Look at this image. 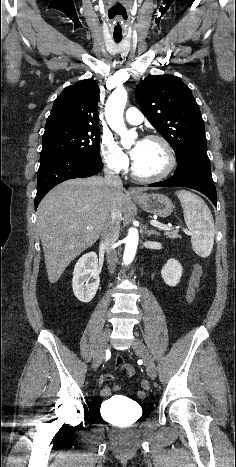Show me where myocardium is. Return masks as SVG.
Returning a JSON list of instances; mask_svg holds the SVG:
<instances>
[{
	"mask_svg": "<svg viewBox=\"0 0 236 467\" xmlns=\"http://www.w3.org/2000/svg\"><path fill=\"white\" fill-rule=\"evenodd\" d=\"M144 140L157 141L164 147V150L167 155V165L165 169L158 174L143 175L137 171L135 162H133L132 167H131L133 177L143 182H157V181L166 179L173 173L177 165L176 155H175L173 147L164 137L160 135H155V134L148 135L145 137Z\"/></svg>",
	"mask_w": 236,
	"mask_h": 467,
	"instance_id": "myocardium-1",
	"label": "myocardium"
}]
</instances>
